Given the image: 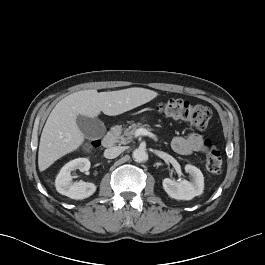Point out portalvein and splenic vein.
Here are the masks:
<instances>
[{
  "mask_svg": "<svg viewBox=\"0 0 265 265\" xmlns=\"http://www.w3.org/2000/svg\"><path fill=\"white\" fill-rule=\"evenodd\" d=\"M135 135L136 136H148V137H150V138H152V139H154V140H156L157 139V137H156V135L155 134H153V133H151V132H149V131H147L146 129H143V128H140V129H137L136 131H135Z\"/></svg>",
  "mask_w": 265,
  "mask_h": 265,
  "instance_id": "portal-vein-and-splenic-vein-1",
  "label": "portal vein and splenic vein"
}]
</instances>
